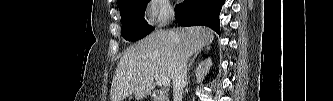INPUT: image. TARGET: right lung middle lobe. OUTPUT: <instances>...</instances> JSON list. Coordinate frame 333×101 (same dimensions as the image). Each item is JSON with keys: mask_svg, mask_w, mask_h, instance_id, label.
Wrapping results in <instances>:
<instances>
[{"mask_svg": "<svg viewBox=\"0 0 333 101\" xmlns=\"http://www.w3.org/2000/svg\"><path fill=\"white\" fill-rule=\"evenodd\" d=\"M150 0H121L118 2L122 20L121 35L128 41H137L154 28L144 19V10Z\"/></svg>", "mask_w": 333, "mask_h": 101, "instance_id": "right-lung-middle-lobe-1", "label": "right lung middle lobe"}]
</instances>
